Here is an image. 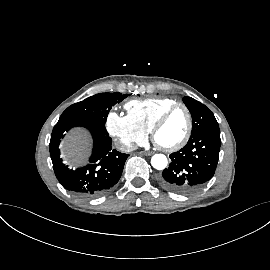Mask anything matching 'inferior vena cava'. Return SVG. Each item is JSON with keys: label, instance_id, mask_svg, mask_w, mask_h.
I'll return each instance as SVG.
<instances>
[{"label": "inferior vena cava", "instance_id": "obj_1", "mask_svg": "<svg viewBox=\"0 0 270 270\" xmlns=\"http://www.w3.org/2000/svg\"><path fill=\"white\" fill-rule=\"evenodd\" d=\"M115 147H116L119 151L124 152V153L131 152V151H133V150H135V149L137 148V147L134 146L133 144H130V143L124 144V143H122V142H120V141H116V142H115Z\"/></svg>", "mask_w": 270, "mask_h": 270}]
</instances>
